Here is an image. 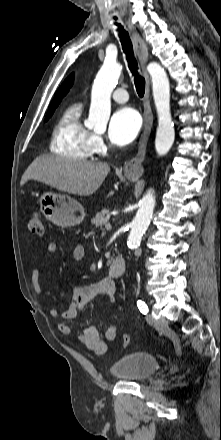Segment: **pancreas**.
<instances>
[{
  "label": "pancreas",
  "mask_w": 221,
  "mask_h": 440,
  "mask_svg": "<svg viewBox=\"0 0 221 440\" xmlns=\"http://www.w3.org/2000/svg\"><path fill=\"white\" fill-rule=\"evenodd\" d=\"M110 218L109 210L103 209L101 212H98L93 219L91 220V224L95 227H102L104 224L108 222Z\"/></svg>",
  "instance_id": "1"
}]
</instances>
